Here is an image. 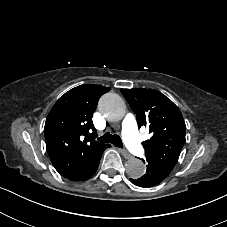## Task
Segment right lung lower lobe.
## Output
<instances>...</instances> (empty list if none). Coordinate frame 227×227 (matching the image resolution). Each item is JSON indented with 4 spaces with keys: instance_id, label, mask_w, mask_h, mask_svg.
<instances>
[{
    "instance_id": "obj_1",
    "label": "right lung lower lobe",
    "mask_w": 227,
    "mask_h": 227,
    "mask_svg": "<svg viewBox=\"0 0 227 227\" xmlns=\"http://www.w3.org/2000/svg\"><path fill=\"white\" fill-rule=\"evenodd\" d=\"M108 147H110V145L105 147L103 150H100L88 156L84 165H82L78 169H75L73 167H66V168L55 167V169L58 171L59 174H61L65 178H68L73 181H84L90 178L96 172L101 156L104 150Z\"/></svg>"
}]
</instances>
